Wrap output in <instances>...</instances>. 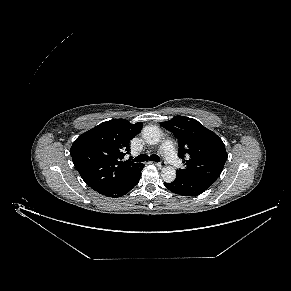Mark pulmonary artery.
<instances>
[{
    "label": "pulmonary artery",
    "instance_id": "e3ab8cb5",
    "mask_svg": "<svg viewBox=\"0 0 291 291\" xmlns=\"http://www.w3.org/2000/svg\"><path fill=\"white\" fill-rule=\"evenodd\" d=\"M161 150L164 154L165 159L170 165L176 168L180 167L181 162L178 159L176 153L174 152V147L171 140L164 141L161 146Z\"/></svg>",
    "mask_w": 291,
    "mask_h": 291
}]
</instances>
